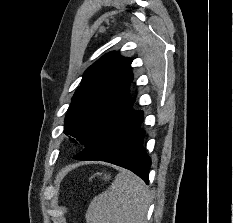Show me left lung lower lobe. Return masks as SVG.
<instances>
[{
  "mask_svg": "<svg viewBox=\"0 0 233 223\" xmlns=\"http://www.w3.org/2000/svg\"><path fill=\"white\" fill-rule=\"evenodd\" d=\"M131 98L85 148L74 156L78 160L106 161L129 169L148 184L150 157L142 144V111H134Z\"/></svg>",
  "mask_w": 233,
  "mask_h": 223,
  "instance_id": "1",
  "label": "left lung lower lobe"
}]
</instances>
